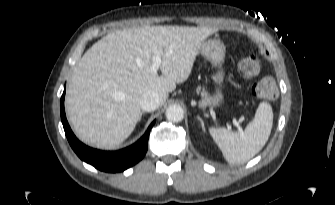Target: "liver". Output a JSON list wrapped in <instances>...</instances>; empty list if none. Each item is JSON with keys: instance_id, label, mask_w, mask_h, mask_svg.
Returning <instances> with one entry per match:
<instances>
[{"instance_id": "obj_1", "label": "liver", "mask_w": 335, "mask_h": 205, "mask_svg": "<svg viewBox=\"0 0 335 205\" xmlns=\"http://www.w3.org/2000/svg\"><path fill=\"white\" fill-rule=\"evenodd\" d=\"M216 29L142 26L118 30L92 45L71 75L66 112L78 138L102 149L120 145L140 120V97L149 90L164 104L192 71L202 43ZM161 52L162 75L151 70Z\"/></svg>"}]
</instances>
